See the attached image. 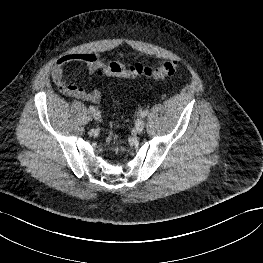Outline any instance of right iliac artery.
I'll return each mask as SVG.
<instances>
[{
  "label": "right iliac artery",
  "mask_w": 263,
  "mask_h": 263,
  "mask_svg": "<svg viewBox=\"0 0 263 263\" xmlns=\"http://www.w3.org/2000/svg\"><path fill=\"white\" fill-rule=\"evenodd\" d=\"M89 110H90L91 112H93V111L95 110L94 106H90V107H89Z\"/></svg>",
  "instance_id": "obj_1"
}]
</instances>
